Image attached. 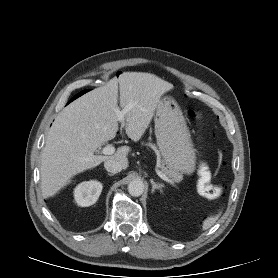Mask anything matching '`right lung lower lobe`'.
I'll list each match as a JSON object with an SVG mask.
<instances>
[{
  "mask_svg": "<svg viewBox=\"0 0 278 278\" xmlns=\"http://www.w3.org/2000/svg\"><path fill=\"white\" fill-rule=\"evenodd\" d=\"M82 94H84L83 91L80 92L79 94H77L74 98H77V97L81 96Z\"/></svg>",
  "mask_w": 278,
  "mask_h": 278,
  "instance_id": "obj_1",
  "label": "right lung lower lobe"
}]
</instances>
